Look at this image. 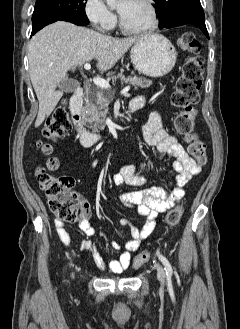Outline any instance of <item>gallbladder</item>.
<instances>
[{
	"instance_id": "bac80fb5",
	"label": "gallbladder",
	"mask_w": 240,
	"mask_h": 329,
	"mask_svg": "<svg viewBox=\"0 0 240 329\" xmlns=\"http://www.w3.org/2000/svg\"><path fill=\"white\" fill-rule=\"evenodd\" d=\"M80 83L75 79L65 78L59 84L58 87L62 92L71 93L74 92Z\"/></svg>"
}]
</instances>
